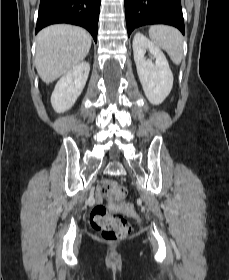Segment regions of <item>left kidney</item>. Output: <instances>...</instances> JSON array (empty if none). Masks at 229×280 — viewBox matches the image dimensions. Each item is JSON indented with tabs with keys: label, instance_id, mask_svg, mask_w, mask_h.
<instances>
[{
	"label": "left kidney",
	"instance_id": "5707ae66",
	"mask_svg": "<svg viewBox=\"0 0 229 280\" xmlns=\"http://www.w3.org/2000/svg\"><path fill=\"white\" fill-rule=\"evenodd\" d=\"M146 50L151 58L146 59ZM133 54L137 73L143 91L154 105L161 104L173 86V74L164 53L143 34L136 33L133 38ZM155 60V63L152 62Z\"/></svg>",
	"mask_w": 229,
	"mask_h": 280
}]
</instances>
